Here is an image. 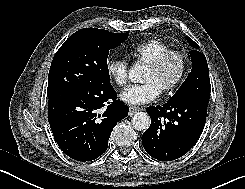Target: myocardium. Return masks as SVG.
I'll return each instance as SVG.
<instances>
[{
  "label": "myocardium",
  "instance_id": "f54148a6",
  "mask_svg": "<svg viewBox=\"0 0 245 189\" xmlns=\"http://www.w3.org/2000/svg\"><path fill=\"white\" fill-rule=\"evenodd\" d=\"M171 58L178 59L181 68L177 77L162 88L164 92L175 91L184 81L188 71V60L186 55L177 50H168L147 64L148 68L154 72H157L160 71Z\"/></svg>",
  "mask_w": 245,
  "mask_h": 189
}]
</instances>
